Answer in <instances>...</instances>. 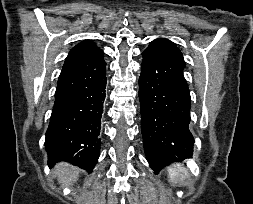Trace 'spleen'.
<instances>
[{"instance_id":"obj_1","label":"spleen","mask_w":253,"mask_h":204,"mask_svg":"<svg viewBox=\"0 0 253 204\" xmlns=\"http://www.w3.org/2000/svg\"><path fill=\"white\" fill-rule=\"evenodd\" d=\"M169 180L173 184H177L178 181L184 180L188 176V171L183 165L175 163L168 167Z\"/></svg>"}]
</instances>
